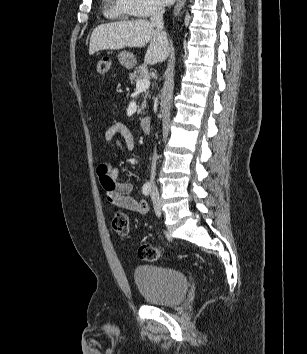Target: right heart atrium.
<instances>
[{
	"label": "right heart atrium",
	"instance_id": "d8ad5b80",
	"mask_svg": "<svg viewBox=\"0 0 307 354\" xmlns=\"http://www.w3.org/2000/svg\"><path fill=\"white\" fill-rule=\"evenodd\" d=\"M135 16L146 17L162 9L160 0H126Z\"/></svg>",
	"mask_w": 307,
	"mask_h": 354
}]
</instances>
